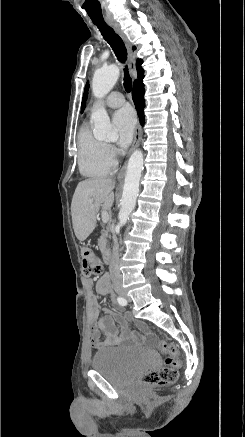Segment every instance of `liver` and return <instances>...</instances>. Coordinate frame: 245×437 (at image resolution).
Returning a JSON list of instances; mask_svg holds the SVG:
<instances>
[{
  "label": "liver",
  "mask_w": 245,
  "mask_h": 437,
  "mask_svg": "<svg viewBox=\"0 0 245 437\" xmlns=\"http://www.w3.org/2000/svg\"><path fill=\"white\" fill-rule=\"evenodd\" d=\"M115 181L109 178H90L79 182L71 203L72 224L79 241H84L96 227L100 207L110 210L114 202ZM89 199H93L90 203Z\"/></svg>",
  "instance_id": "1"
}]
</instances>
